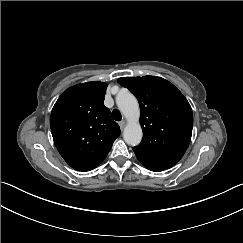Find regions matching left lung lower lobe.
Masks as SVG:
<instances>
[{
    "label": "left lung lower lobe",
    "instance_id": "obj_1",
    "mask_svg": "<svg viewBox=\"0 0 243 243\" xmlns=\"http://www.w3.org/2000/svg\"><path fill=\"white\" fill-rule=\"evenodd\" d=\"M147 169L151 170V171H154V172H159V171H162V170H159V169H156L148 164H145V163H142Z\"/></svg>",
    "mask_w": 243,
    "mask_h": 243
}]
</instances>
